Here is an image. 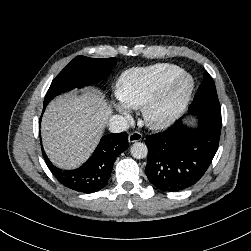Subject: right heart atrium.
I'll use <instances>...</instances> for the list:
<instances>
[{"mask_svg": "<svg viewBox=\"0 0 251 251\" xmlns=\"http://www.w3.org/2000/svg\"><path fill=\"white\" fill-rule=\"evenodd\" d=\"M113 108L123 114V115H128L129 114V110H128V107L125 106L123 103H116V104H113Z\"/></svg>", "mask_w": 251, "mask_h": 251, "instance_id": "1", "label": "right heart atrium"}]
</instances>
